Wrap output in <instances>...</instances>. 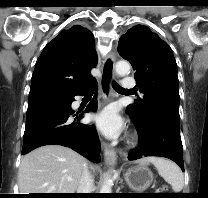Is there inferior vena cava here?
<instances>
[{"mask_svg": "<svg viewBox=\"0 0 208 198\" xmlns=\"http://www.w3.org/2000/svg\"><path fill=\"white\" fill-rule=\"evenodd\" d=\"M94 179L88 170V167H84L82 175L77 187V193H91L93 190Z\"/></svg>", "mask_w": 208, "mask_h": 198, "instance_id": "obj_1", "label": "inferior vena cava"}]
</instances>
